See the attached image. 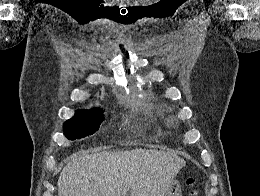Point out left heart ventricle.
Returning a JSON list of instances; mask_svg holds the SVG:
<instances>
[{"label": "left heart ventricle", "mask_w": 260, "mask_h": 196, "mask_svg": "<svg viewBox=\"0 0 260 196\" xmlns=\"http://www.w3.org/2000/svg\"><path fill=\"white\" fill-rule=\"evenodd\" d=\"M116 190H87V192H115Z\"/></svg>", "instance_id": "left-heart-ventricle-1"}]
</instances>
